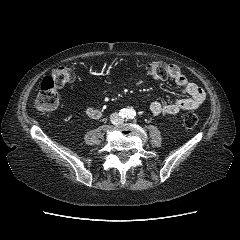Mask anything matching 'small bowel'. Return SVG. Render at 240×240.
Masks as SVG:
<instances>
[{"instance_id":"1","label":"small bowel","mask_w":240,"mask_h":240,"mask_svg":"<svg viewBox=\"0 0 240 240\" xmlns=\"http://www.w3.org/2000/svg\"><path fill=\"white\" fill-rule=\"evenodd\" d=\"M168 77L182 88V92L186 97L172 102H152L150 111L153 115L168 116L181 111L195 110L204 102L206 97L204 90L195 83L189 82L176 65H169Z\"/></svg>"}]
</instances>
